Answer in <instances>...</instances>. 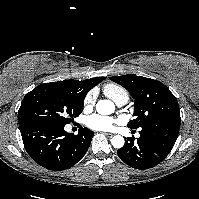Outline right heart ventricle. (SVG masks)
I'll use <instances>...</instances> for the list:
<instances>
[{
	"instance_id": "e07e8e85",
	"label": "right heart ventricle",
	"mask_w": 199,
	"mask_h": 199,
	"mask_svg": "<svg viewBox=\"0 0 199 199\" xmlns=\"http://www.w3.org/2000/svg\"><path fill=\"white\" fill-rule=\"evenodd\" d=\"M104 93L106 94V96H108L109 98L115 100L119 97H126L128 98V93L126 92V90L118 85H114V84H109L107 86H105L104 88Z\"/></svg>"
}]
</instances>
